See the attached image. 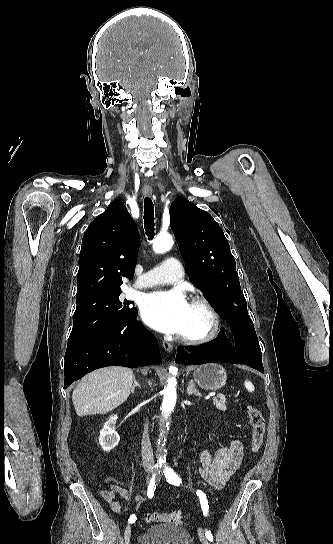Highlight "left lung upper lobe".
<instances>
[{"label": "left lung upper lobe", "instance_id": "obj_1", "mask_svg": "<svg viewBox=\"0 0 333 544\" xmlns=\"http://www.w3.org/2000/svg\"><path fill=\"white\" fill-rule=\"evenodd\" d=\"M170 224L193 284L216 304L231 327L250 320L229 243L213 217L178 197L170 207Z\"/></svg>", "mask_w": 333, "mask_h": 544}]
</instances>
